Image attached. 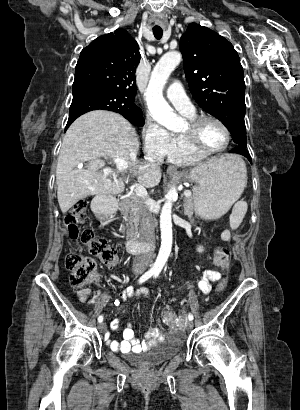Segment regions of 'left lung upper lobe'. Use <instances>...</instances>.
<instances>
[{"mask_svg": "<svg viewBox=\"0 0 300 410\" xmlns=\"http://www.w3.org/2000/svg\"><path fill=\"white\" fill-rule=\"evenodd\" d=\"M183 67L193 98L247 148L245 82L238 53L224 37L196 23L180 39Z\"/></svg>", "mask_w": 300, "mask_h": 410, "instance_id": "1", "label": "left lung upper lobe"}]
</instances>
